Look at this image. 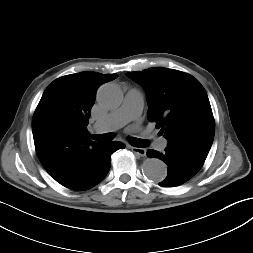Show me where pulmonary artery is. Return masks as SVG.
Instances as JSON below:
<instances>
[{
    "mask_svg": "<svg viewBox=\"0 0 253 253\" xmlns=\"http://www.w3.org/2000/svg\"><path fill=\"white\" fill-rule=\"evenodd\" d=\"M143 108V97L137 89H130L124 98L123 104L115 111L109 113L105 118L97 121L93 125V130L97 133L107 132L119 128L126 123L137 119ZM167 146L165 138H157L154 148L164 150Z\"/></svg>",
    "mask_w": 253,
    "mask_h": 253,
    "instance_id": "pulmonary-artery-1",
    "label": "pulmonary artery"
}]
</instances>
